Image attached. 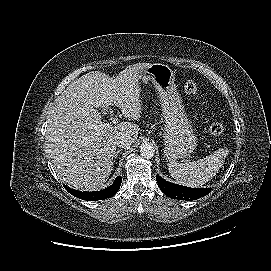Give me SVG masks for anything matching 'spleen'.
Instances as JSON below:
<instances>
[{
	"label": "spleen",
	"instance_id": "spleen-1",
	"mask_svg": "<svg viewBox=\"0 0 271 271\" xmlns=\"http://www.w3.org/2000/svg\"><path fill=\"white\" fill-rule=\"evenodd\" d=\"M228 150L220 148L212 154L193 162L168 164L170 175L179 183L188 187H200L210 181L223 166Z\"/></svg>",
	"mask_w": 271,
	"mask_h": 271
}]
</instances>
